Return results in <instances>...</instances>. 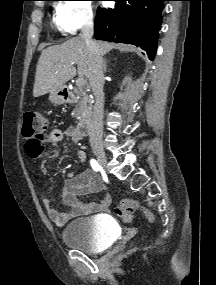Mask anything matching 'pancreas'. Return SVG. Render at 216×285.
I'll return each instance as SVG.
<instances>
[{
  "label": "pancreas",
  "mask_w": 216,
  "mask_h": 285,
  "mask_svg": "<svg viewBox=\"0 0 216 285\" xmlns=\"http://www.w3.org/2000/svg\"><path fill=\"white\" fill-rule=\"evenodd\" d=\"M77 95L74 116L84 118L90 112V100L83 87L74 90Z\"/></svg>",
  "instance_id": "obj_1"
}]
</instances>
